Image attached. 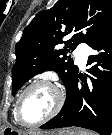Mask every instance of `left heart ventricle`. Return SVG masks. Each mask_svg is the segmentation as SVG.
Wrapping results in <instances>:
<instances>
[{
    "label": "left heart ventricle",
    "mask_w": 112,
    "mask_h": 135,
    "mask_svg": "<svg viewBox=\"0 0 112 135\" xmlns=\"http://www.w3.org/2000/svg\"><path fill=\"white\" fill-rule=\"evenodd\" d=\"M57 99V94L51 87L35 86L23 97L22 114L29 121H37L53 110Z\"/></svg>",
    "instance_id": "1"
}]
</instances>
